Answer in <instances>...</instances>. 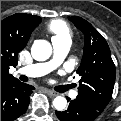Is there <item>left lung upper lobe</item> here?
Wrapping results in <instances>:
<instances>
[{"instance_id": "left-lung-upper-lobe-1", "label": "left lung upper lobe", "mask_w": 121, "mask_h": 121, "mask_svg": "<svg viewBox=\"0 0 121 121\" xmlns=\"http://www.w3.org/2000/svg\"><path fill=\"white\" fill-rule=\"evenodd\" d=\"M69 20L85 36L83 57L77 70L81 79L75 100L102 112L111 100L116 76L109 46L103 36L83 18L72 16Z\"/></svg>"}]
</instances>
